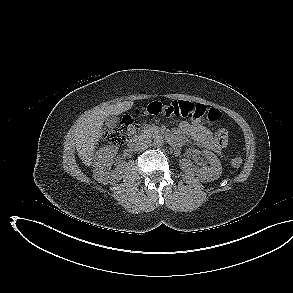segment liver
<instances>
[{
  "instance_id": "liver-1",
  "label": "liver",
  "mask_w": 293,
  "mask_h": 293,
  "mask_svg": "<svg viewBox=\"0 0 293 293\" xmlns=\"http://www.w3.org/2000/svg\"><path fill=\"white\" fill-rule=\"evenodd\" d=\"M133 106L132 101H124L115 105L95 108L81 117L75 125V145L81 161L90 166L94 158L96 144L102 137V126L110 115H119Z\"/></svg>"
}]
</instances>
